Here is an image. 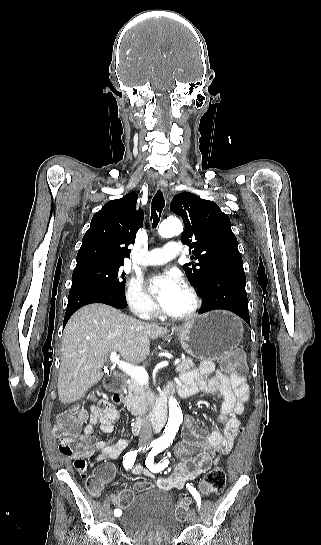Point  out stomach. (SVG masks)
Returning <instances> with one entry per match:
<instances>
[{"instance_id":"1","label":"stomach","mask_w":321,"mask_h":545,"mask_svg":"<svg viewBox=\"0 0 321 545\" xmlns=\"http://www.w3.org/2000/svg\"><path fill=\"white\" fill-rule=\"evenodd\" d=\"M184 351L195 359H223L237 349L243 337V325L228 311L196 315L175 329Z\"/></svg>"}]
</instances>
